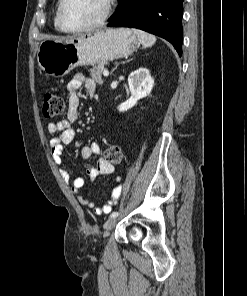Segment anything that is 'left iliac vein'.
<instances>
[{"instance_id": "4c4485c4", "label": "left iliac vein", "mask_w": 247, "mask_h": 296, "mask_svg": "<svg viewBox=\"0 0 247 296\" xmlns=\"http://www.w3.org/2000/svg\"><path fill=\"white\" fill-rule=\"evenodd\" d=\"M117 222V218L116 217H111L109 218L105 224H104V228L106 231H110L114 228V226L116 225Z\"/></svg>"}]
</instances>
